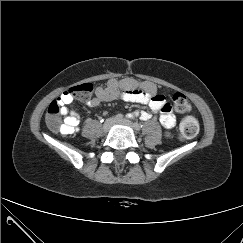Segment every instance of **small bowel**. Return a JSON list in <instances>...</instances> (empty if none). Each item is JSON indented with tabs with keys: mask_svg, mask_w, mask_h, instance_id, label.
I'll list each match as a JSON object with an SVG mask.
<instances>
[{
	"mask_svg": "<svg viewBox=\"0 0 243 243\" xmlns=\"http://www.w3.org/2000/svg\"><path fill=\"white\" fill-rule=\"evenodd\" d=\"M121 99L125 102L148 105L149 111H134L130 117H139L147 121L153 113H160V123L166 129H171L176 124L175 115L168 108L165 95L158 92L157 86L148 81H137L133 78H111L105 86L98 87L95 96L87 101L90 107H97L102 102ZM57 100L61 104L60 114L63 116V123L60 132L64 135H72L79 130V116L68 108L74 100L69 92L62 93Z\"/></svg>",
	"mask_w": 243,
	"mask_h": 243,
	"instance_id": "1",
	"label": "small bowel"
}]
</instances>
